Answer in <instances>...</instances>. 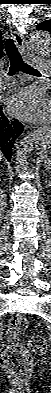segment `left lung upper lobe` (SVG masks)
I'll return each mask as SVG.
<instances>
[{"label": "left lung upper lobe", "instance_id": "obj_1", "mask_svg": "<svg viewBox=\"0 0 51 393\" xmlns=\"http://www.w3.org/2000/svg\"><path fill=\"white\" fill-rule=\"evenodd\" d=\"M37 30H44L51 34V19L39 23L36 27Z\"/></svg>", "mask_w": 51, "mask_h": 393}]
</instances>
